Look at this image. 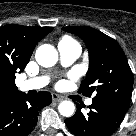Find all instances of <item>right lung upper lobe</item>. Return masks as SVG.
I'll return each instance as SVG.
<instances>
[{
    "mask_svg": "<svg viewBox=\"0 0 136 136\" xmlns=\"http://www.w3.org/2000/svg\"><path fill=\"white\" fill-rule=\"evenodd\" d=\"M52 29L17 24L0 27V101L20 93L15 74L24 70L36 44Z\"/></svg>",
    "mask_w": 136,
    "mask_h": 136,
    "instance_id": "obj_1",
    "label": "right lung upper lobe"
}]
</instances>
